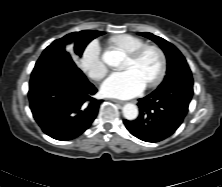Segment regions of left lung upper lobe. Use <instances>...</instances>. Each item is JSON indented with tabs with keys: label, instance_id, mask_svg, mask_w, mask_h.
Here are the masks:
<instances>
[{
	"label": "left lung upper lobe",
	"instance_id": "5c2ea615",
	"mask_svg": "<svg viewBox=\"0 0 222 187\" xmlns=\"http://www.w3.org/2000/svg\"><path fill=\"white\" fill-rule=\"evenodd\" d=\"M139 34L157 43L164 51L167 58L166 76L155 92H162L171 85H173V88L169 90L168 93L179 90L182 87L181 79L183 77H192L190 68L184 56L173 44L159 36H155L148 32Z\"/></svg>",
	"mask_w": 222,
	"mask_h": 187
}]
</instances>
